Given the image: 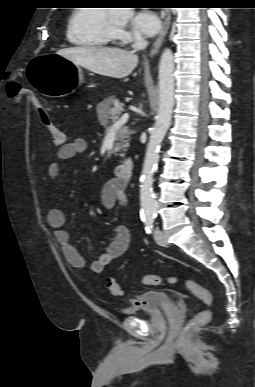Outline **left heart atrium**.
Masks as SVG:
<instances>
[{
  "label": "left heart atrium",
  "mask_w": 255,
  "mask_h": 387,
  "mask_svg": "<svg viewBox=\"0 0 255 387\" xmlns=\"http://www.w3.org/2000/svg\"><path fill=\"white\" fill-rule=\"evenodd\" d=\"M133 29L144 36H154L161 29L159 17L151 11H140L132 19Z\"/></svg>",
  "instance_id": "obj_1"
}]
</instances>
